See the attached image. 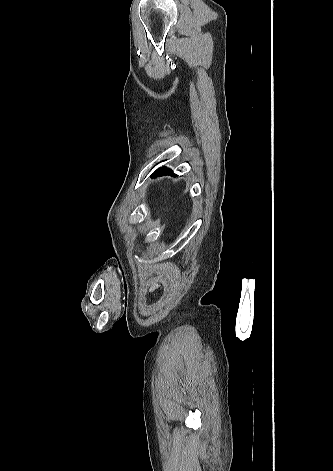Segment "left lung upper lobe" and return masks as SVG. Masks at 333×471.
I'll return each mask as SVG.
<instances>
[{"label":"left lung upper lobe","instance_id":"obj_1","mask_svg":"<svg viewBox=\"0 0 333 471\" xmlns=\"http://www.w3.org/2000/svg\"><path fill=\"white\" fill-rule=\"evenodd\" d=\"M167 174V168L166 167H161L158 170H156L151 177H157L158 175H166Z\"/></svg>","mask_w":333,"mask_h":471}]
</instances>
